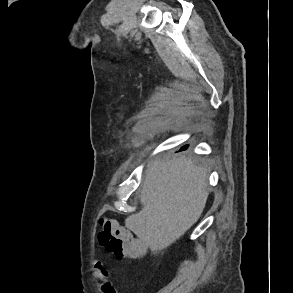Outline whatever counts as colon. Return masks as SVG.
Here are the masks:
<instances>
[{"mask_svg": "<svg viewBox=\"0 0 293 293\" xmlns=\"http://www.w3.org/2000/svg\"><path fill=\"white\" fill-rule=\"evenodd\" d=\"M100 227L98 241L114 257L136 260L145 253L147 245L120 227L116 220L103 216L100 218Z\"/></svg>", "mask_w": 293, "mask_h": 293, "instance_id": "colon-1", "label": "colon"}]
</instances>
